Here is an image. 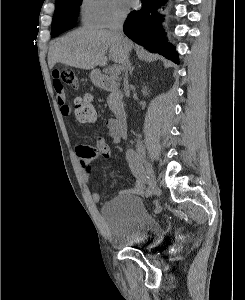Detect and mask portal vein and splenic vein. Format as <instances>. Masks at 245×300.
Instances as JSON below:
<instances>
[{
    "label": "portal vein and splenic vein",
    "mask_w": 245,
    "mask_h": 300,
    "mask_svg": "<svg viewBox=\"0 0 245 300\" xmlns=\"http://www.w3.org/2000/svg\"><path fill=\"white\" fill-rule=\"evenodd\" d=\"M110 72L112 75H117L118 73H120V67L114 65L113 67L110 68Z\"/></svg>",
    "instance_id": "obj_1"
}]
</instances>
